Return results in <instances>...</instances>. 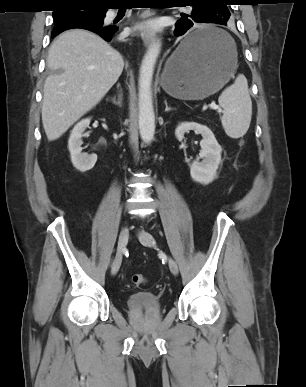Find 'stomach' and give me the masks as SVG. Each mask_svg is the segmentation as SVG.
<instances>
[{
  "label": "stomach",
  "instance_id": "obj_1",
  "mask_svg": "<svg viewBox=\"0 0 306 387\" xmlns=\"http://www.w3.org/2000/svg\"><path fill=\"white\" fill-rule=\"evenodd\" d=\"M212 30L219 39L207 48L183 53L182 44L166 61L161 85L171 96L201 100L221 89L237 69V50L233 39L221 29L204 26L195 31Z\"/></svg>",
  "mask_w": 306,
  "mask_h": 387
}]
</instances>
